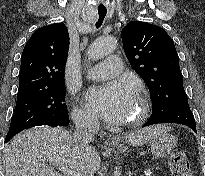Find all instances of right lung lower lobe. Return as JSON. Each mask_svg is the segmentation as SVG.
<instances>
[{
  "label": "right lung lower lobe",
  "instance_id": "1",
  "mask_svg": "<svg viewBox=\"0 0 205 176\" xmlns=\"http://www.w3.org/2000/svg\"><path fill=\"white\" fill-rule=\"evenodd\" d=\"M49 126H62V125H58V124H48ZM8 142V141H5Z\"/></svg>",
  "mask_w": 205,
  "mask_h": 176
}]
</instances>
